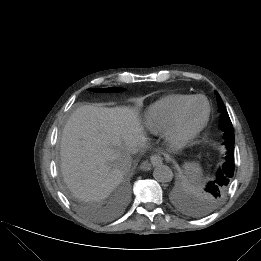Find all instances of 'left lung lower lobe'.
Returning <instances> with one entry per match:
<instances>
[{"instance_id": "obj_1", "label": "left lung lower lobe", "mask_w": 261, "mask_h": 261, "mask_svg": "<svg viewBox=\"0 0 261 261\" xmlns=\"http://www.w3.org/2000/svg\"><path fill=\"white\" fill-rule=\"evenodd\" d=\"M226 161L222 165V168L225 170V173L228 174L231 178L234 174V149H231L230 151H227V156L225 157Z\"/></svg>"}]
</instances>
